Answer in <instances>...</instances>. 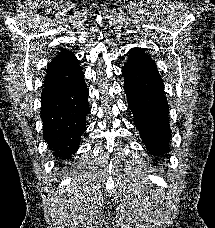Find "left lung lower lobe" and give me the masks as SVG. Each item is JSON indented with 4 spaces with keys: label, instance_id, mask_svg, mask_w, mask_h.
Returning <instances> with one entry per match:
<instances>
[{
    "label": "left lung lower lobe",
    "instance_id": "0a47b994",
    "mask_svg": "<svg viewBox=\"0 0 215 228\" xmlns=\"http://www.w3.org/2000/svg\"><path fill=\"white\" fill-rule=\"evenodd\" d=\"M128 54L122 73L134 124L147 151L156 157L164 155L169 152L171 129L163 81L146 53L135 48Z\"/></svg>",
    "mask_w": 215,
    "mask_h": 228
}]
</instances>
